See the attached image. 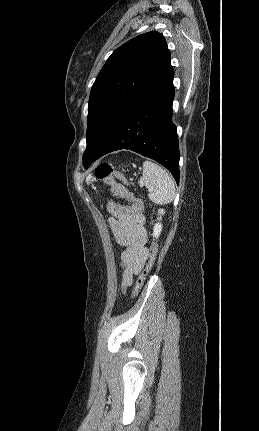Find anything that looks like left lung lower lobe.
<instances>
[{
    "instance_id": "left-lung-lower-lobe-1",
    "label": "left lung lower lobe",
    "mask_w": 259,
    "mask_h": 431,
    "mask_svg": "<svg viewBox=\"0 0 259 431\" xmlns=\"http://www.w3.org/2000/svg\"><path fill=\"white\" fill-rule=\"evenodd\" d=\"M173 68L117 123L92 162L120 149H129L166 167L179 183V146L172 122ZM87 168V167H86Z\"/></svg>"
}]
</instances>
